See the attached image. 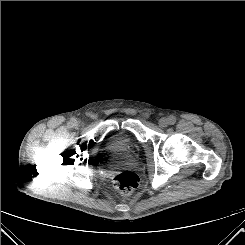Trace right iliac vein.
<instances>
[{
	"instance_id": "63e3f726",
	"label": "right iliac vein",
	"mask_w": 245,
	"mask_h": 245,
	"mask_svg": "<svg viewBox=\"0 0 245 245\" xmlns=\"http://www.w3.org/2000/svg\"><path fill=\"white\" fill-rule=\"evenodd\" d=\"M77 128H81L83 126V123L82 122H77L76 125H75Z\"/></svg>"
}]
</instances>
